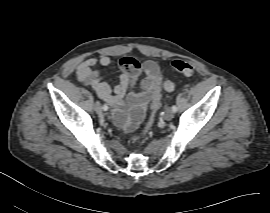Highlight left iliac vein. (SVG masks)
Returning <instances> with one entry per match:
<instances>
[{"label":"left iliac vein","instance_id":"4c4485c4","mask_svg":"<svg viewBox=\"0 0 270 213\" xmlns=\"http://www.w3.org/2000/svg\"><path fill=\"white\" fill-rule=\"evenodd\" d=\"M173 117H174L173 111L170 108H167L164 111V119L167 120V121H170V120L173 119Z\"/></svg>","mask_w":270,"mask_h":213}]
</instances>
